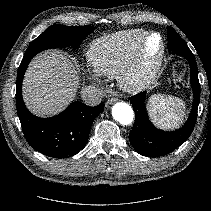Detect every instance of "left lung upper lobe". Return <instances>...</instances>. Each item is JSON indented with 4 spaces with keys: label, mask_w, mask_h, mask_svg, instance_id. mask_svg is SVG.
I'll return each instance as SVG.
<instances>
[{
    "label": "left lung upper lobe",
    "mask_w": 211,
    "mask_h": 211,
    "mask_svg": "<svg viewBox=\"0 0 211 211\" xmlns=\"http://www.w3.org/2000/svg\"><path fill=\"white\" fill-rule=\"evenodd\" d=\"M167 30H168V36H169L170 34H174L175 36H179L178 33H177L173 28L168 27ZM179 37H180V36H179ZM183 44L186 45L185 42H183Z\"/></svg>",
    "instance_id": "left-lung-upper-lobe-1"
}]
</instances>
